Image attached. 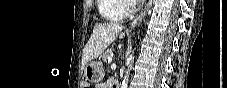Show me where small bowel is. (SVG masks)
I'll return each instance as SVG.
<instances>
[{
  "label": "small bowel",
  "instance_id": "c3829d8e",
  "mask_svg": "<svg viewBox=\"0 0 227 88\" xmlns=\"http://www.w3.org/2000/svg\"><path fill=\"white\" fill-rule=\"evenodd\" d=\"M97 88H111V82L99 83L96 86Z\"/></svg>",
  "mask_w": 227,
  "mask_h": 88
}]
</instances>
